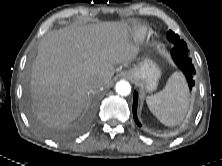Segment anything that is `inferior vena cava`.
<instances>
[{"label": "inferior vena cava", "mask_w": 222, "mask_h": 166, "mask_svg": "<svg viewBox=\"0 0 222 166\" xmlns=\"http://www.w3.org/2000/svg\"><path fill=\"white\" fill-rule=\"evenodd\" d=\"M104 86H105V85H104V83H103L102 81H97V82L94 83V87H95L96 89H98V90L103 89Z\"/></svg>", "instance_id": "1"}]
</instances>
